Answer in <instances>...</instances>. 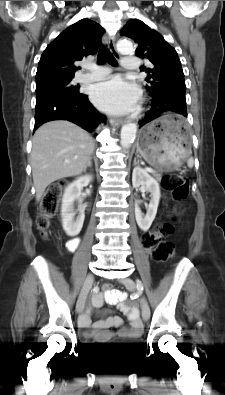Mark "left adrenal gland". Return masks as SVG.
<instances>
[{
	"mask_svg": "<svg viewBox=\"0 0 225 395\" xmlns=\"http://www.w3.org/2000/svg\"><path fill=\"white\" fill-rule=\"evenodd\" d=\"M133 165H134V166H135V165H139V161H137V158H136V157L134 158Z\"/></svg>",
	"mask_w": 225,
	"mask_h": 395,
	"instance_id": "1",
	"label": "left adrenal gland"
}]
</instances>
